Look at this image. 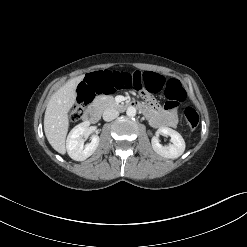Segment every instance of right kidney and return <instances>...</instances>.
<instances>
[{
	"label": "right kidney",
	"mask_w": 247,
	"mask_h": 247,
	"mask_svg": "<svg viewBox=\"0 0 247 247\" xmlns=\"http://www.w3.org/2000/svg\"><path fill=\"white\" fill-rule=\"evenodd\" d=\"M89 122H83L75 126L67 137L66 148L68 155L75 161H84L90 157L99 145V137L92 136L90 144L84 146L83 135L88 132Z\"/></svg>",
	"instance_id": "ca27d5eb"
}]
</instances>
